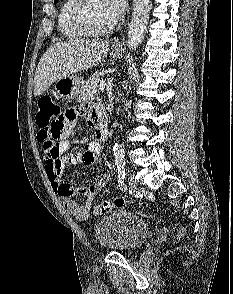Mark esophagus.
<instances>
[{"label":"esophagus","instance_id":"1","mask_svg":"<svg viewBox=\"0 0 233 294\" xmlns=\"http://www.w3.org/2000/svg\"><path fill=\"white\" fill-rule=\"evenodd\" d=\"M113 46L114 47H120L121 43L119 41H116V42L113 43Z\"/></svg>","mask_w":233,"mask_h":294}]
</instances>
